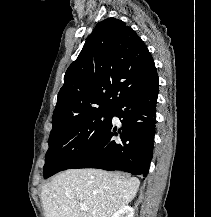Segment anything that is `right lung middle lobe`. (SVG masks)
I'll list each match as a JSON object with an SVG mask.
<instances>
[{
  "mask_svg": "<svg viewBox=\"0 0 211 217\" xmlns=\"http://www.w3.org/2000/svg\"><path fill=\"white\" fill-rule=\"evenodd\" d=\"M112 118L113 109H100L52 128L44 178L68 169L89 153L106 134Z\"/></svg>",
  "mask_w": 211,
  "mask_h": 217,
  "instance_id": "obj_1",
  "label": "right lung middle lobe"
}]
</instances>
